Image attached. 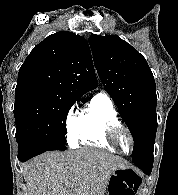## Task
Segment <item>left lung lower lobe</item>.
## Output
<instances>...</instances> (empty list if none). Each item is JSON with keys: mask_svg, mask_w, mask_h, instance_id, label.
<instances>
[{"mask_svg": "<svg viewBox=\"0 0 178 195\" xmlns=\"http://www.w3.org/2000/svg\"><path fill=\"white\" fill-rule=\"evenodd\" d=\"M134 164L139 167L145 174L149 175L152 171L153 157L135 162Z\"/></svg>", "mask_w": 178, "mask_h": 195, "instance_id": "1", "label": "left lung lower lobe"}]
</instances>
